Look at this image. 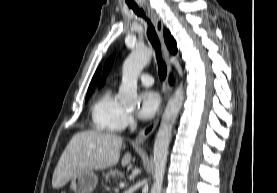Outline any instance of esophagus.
<instances>
[{
	"mask_svg": "<svg viewBox=\"0 0 277 193\" xmlns=\"http://www.w3.org/2000/svg\"><path fill=\"white\" fill-rule=\"evenodd\" d=\"M147 10L154 21L156 32L162 43L164 56L167 61L168 67L170 69L171 68L170 61H169L170 53L164 43V38H163V22H162L161 18L158 15H156L155 12L149 6H147ZM170 93H171V88L169 85H167L164 89L162 103H161L160 109L158 111V114H157L155 120L153 121V123L149 124L148 126H146L144 129H142L140 131V133L138 134V136L135 139L136 144H139V145L144 144L145 141L149 138V136L154 132V130L156 129V127L160 121L163 109L165 107L166 101L168 100V98L170 96Z\"/></svg>",
	"mask_w": 277,
	"mask_h": 193,
	"instance_id": "obj_1",
	"label": "esophagus"
}]
</instances>
